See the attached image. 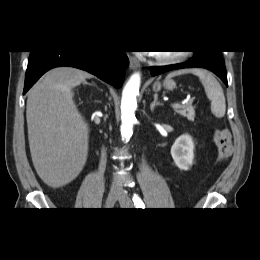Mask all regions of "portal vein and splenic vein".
<instances>
[{
  "label": "portal vein and splenic vein",
  "mask_w": 260,
  "mask_h": 260,
  "mask_svg": "<svg viewBox=\"0 0 260 260\" xmlns=\"http://www.w3.org/2000/svg\"><path fill=\"white\" fill-rule=\"evenodd\" d=\"M171 106H172V107H179L180 104H179V103H172Z\"/></svg>",
  "instance_id": "18ae733b"
}]
</instances>
